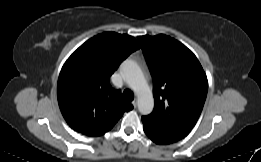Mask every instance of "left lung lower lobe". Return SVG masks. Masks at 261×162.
Segmentation results:
<instances>
[{"mask_svg": "<svg viewBox=\"0 0 261 162\" xmlns=\"http://www.w3.org/2000/svg\"><path fill=\"white\" fill-rule=\"evenodd\" d=\"M143 122V121H142ZM143 129L146 133V135L156 144L159 145H166L171 144L179 141L180 139L170 137L168 135L160 133L158 130H156L153 126H151L148 123L143 122Z\"/></svg>", "mask_w": 261, "mask_h": 162, "instance_id": "left-lung-lower-lobe-1", "label": "left lung lower lobe"}]
</instances>
